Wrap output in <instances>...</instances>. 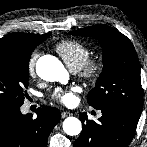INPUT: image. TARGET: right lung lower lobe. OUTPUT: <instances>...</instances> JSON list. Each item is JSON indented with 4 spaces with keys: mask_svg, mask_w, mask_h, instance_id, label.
Returning <instances> with one entry per match:
<instances>
[{
    "mask_svg": "<svg viewBox=\"0 0 147 147\" xmlns=\"http://www.w3.org/2000/svg\"><path fill=\"white\" fill-rule=\"evenodd\" d=\"M32 114L23 115L20 108L0 109V147H47V139L59 122L60 111L42 106Z\"/></svg>",
    "mask_w": 147,
    "mask_h": 147,
    "instance_id": "98d812e1",
    "label": "right lung lower lobe"
}]
</instances>
